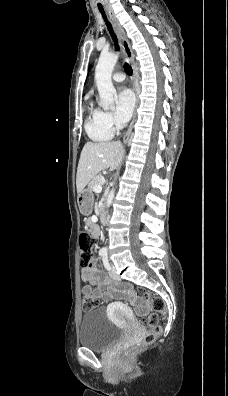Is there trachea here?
Here are the masks:
<instances>
[{
    "instance_id": "trachea-1",
    "label": "trachea",
    "mask_w": 228,
    "mask_h": 396,
    "mask_svg": "<svg viewBox=\"0 0 228 396\" xmlns=\"http://www.w3.org/2000/svg\"><path fill=\"white\" fill-rule=\"evenodd\" d=\"M99 11L101 12L104 20L106 21L107 27L109 29V32H110L111 36H112V39H113V42L115 44L116 49L119 50L117 37H116V35H115V33H114L113 29H112L111 24L107 21V17H106L105 12H104V10H103V8L101 6H99ZM124 69H125V71H126V73L128 75H130V76L132 75V68H131V66L128 63L124 64Z\"/></svg>"
}]
</instances>
